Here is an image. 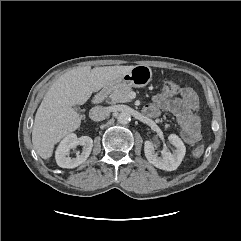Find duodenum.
I'll use <instances>...</instances> for the list:
<instances>
[{
	"label": "duodenum",
	"mask_w": 241,
	"mask_h": 241,
	"mask_svg": "<svg viewBox=\"0 0 241 241\" xmlns=\"http://www.w3.org/2000/svg\"><path fill=\"white\" fill-rule=\"evenodd\" d=\"M111 86H105L99 93H97L94 98H93V103L94 104H99L101 103L110 93L111 91Z\"/></svg>",
	"instance_id": "duodenum-1"
}]
</instances>
